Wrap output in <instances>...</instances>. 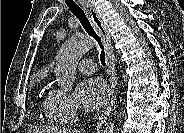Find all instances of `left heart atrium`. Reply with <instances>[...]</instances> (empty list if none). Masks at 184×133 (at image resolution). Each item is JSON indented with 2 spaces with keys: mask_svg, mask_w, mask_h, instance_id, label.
Wrapping results in <instances>:
<instances>
[{
  "mask_svg": "<svg viewBox=\"0 0 184 133\" xmlns=\"http://www.w3.org/2000/svg\"><path fill=\"white\" fill-rule=\"evenodd\" d=\"M109 96L108 87L99 78L83 80L76 89L78 104L85 110L95 111L101 108Z\"/></svg>",
  "mask_w": 184,
  "mask_h": 133,
  "instance_id": "39dd6f15",
  "label": "left heart atrium"
}]
</instances>
